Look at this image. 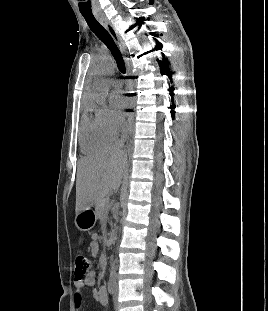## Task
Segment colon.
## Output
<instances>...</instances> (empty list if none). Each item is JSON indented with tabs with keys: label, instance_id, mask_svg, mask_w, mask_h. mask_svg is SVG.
I'll return each mask as SVG.
<instances>
[{
	"label": "colon",
	"instance_id": "5ec220e1",
	"mask_svg": "<svg viewBox=\"0 0 268 311\" xmlns=\"http://www.w3.org/2000/svg\"><path fill=\"white\" fill-rule=\"evenodd\" d=\"M90 271V261L83 253H78L75 258V279L82 280Z\"/></svg>",
	"mask_w": 268,
	"mask_h": 311
}]
</instances>
